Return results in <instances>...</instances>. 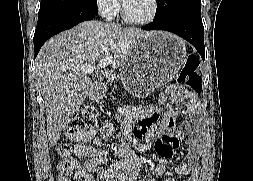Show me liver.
<instances>
[{"label": "liver", "instance_id": "obj_1", "mask_svg": "<svg viewBox=\"0 0 253 181\" xmlns=\"http://www.w3.org/2000/svg\"><path fill=\"white\" fill-rule=\"evenodd\" d=\"M152 33L92 20L52 37L43 45L35 60V73L44 98L50 146L57 144L69 116L80 109L93 90L92 81L81 67L95 66L111 52V66L122 67L130 49Z\"/></svg>", "mask_w": 253, "mask_h": 181}]
</instances>
